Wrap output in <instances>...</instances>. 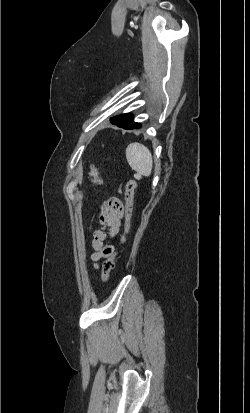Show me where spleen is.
Segmentation results:
<instances>
[{
	"mask_svg": "<svg viewBox=\"0 0 250 413\" xmlns=\"http://www.w3.org/2000/svg\"><path fill=\"white\" fill-rule=\"evenodd\" d=\"M126 159L130 167L138 174L150 176L153 162L149 149L138 142L131 143L126 148Z\"/></svg>",
	"mask_w": 250,
	"mask_h": 413,
	"instance_id": "3e777b00",
	"label": "spleen"
}]
</instances>
